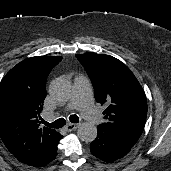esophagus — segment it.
I'll list each match as a JSON object with an SVG mask.
<instances>
[{"instance_id": "esophagus-1", "label": "esophagus", "mask_w": 171, "mask_h": 171, "mask_svg": "<svg viewBox=\"0 0 171 171\" xmlns=\"http://www.w3.org/2000/svg\"><path fill=\"white\" fill-rule=\"evenodd\" d=\"M78 124H74V123H69L68 125H66L65 129L67 131H73L75 130L76 128H78Z\"/></svg>"}]
</instances>
